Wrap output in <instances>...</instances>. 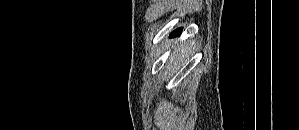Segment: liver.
<instances>
[{"mask_svg": "<svg viewBox=\"0 0 299 130\" xmlns=\"http://www.w3.org/2000/svg\"><path fill=\"white\" fill-rule=\"evenodd\" d=\"M189 49V44L180 45L171 56V61L173 64H177L178 61L184 58L185 54L189 52Z\"/></svg>", "mask_w": 299, "mask_h": 130, "instance_id": "6515ba94", "label": "liver"}]
</instances>
